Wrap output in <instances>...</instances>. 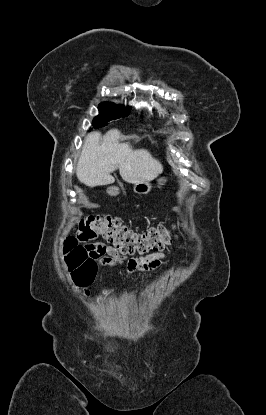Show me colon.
I'll use <instances>...</instances> for the list:
<instances>
[{
  "label": "colon",
  "mask_w": 266,
  "mask_h": 415,
  "mask_svg": "<svg viewBox=\"0 0 266 415\" xmlns=\"http://www.w3.org/2000/svg\"><path fill=\"white\" fill-rule=\"evenodd\" d=\"M101 236L124 255L160 251L172 242L169 228L157 226L135 232L113 216H88L79 223L75 236L64 242L65 261L72 278L89 285L97 273V263L88 245L81 243Z\"/></svg>",
  "instance_id": "1"
}]
</instances>
